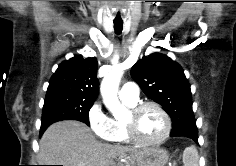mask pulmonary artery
Listing matches in <instances>:
<instances>
[{"instance_id":"pulmonary-artery-1","label":"pulmonary artery","mask_w":236,"mask_h":166,"mask_svg":"<svg viewBox=\"0 0 236 166\" xmlns=\"http://www.w3.org/2000/svg\"><path fill=\"white\" fill-rule=\"evenodd\" d=\"M119 95L121 99L137 102L139 99L138 85L134 82H128L124 84L119 92Z\"/></svg>"}]
</instances>
